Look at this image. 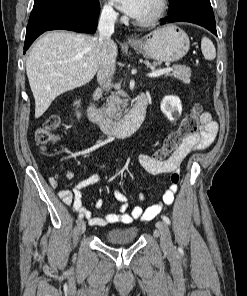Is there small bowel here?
<instances>
[{
    "mask_svg": "<svg viewBox=\"0 0 247 296\" xmlns=\"http://www.w3.org/2000/svg\"><path fill=\"white\" fill-rule=\"evenodd\" d=\"M217 133V124L213 121L212 115L209 112H204L200 116V132L187 137L181 147L175 151L168 159L164 161H156L150 155H141V166L152 175L169 174L171 176V185L164 192L162 201L157 204L148 205L146 208L135 206L130 209V204L127 196L120 190L114 191V197L118 202V212L106 213L103 216H94L83 206L82 190L98 184L101 181L99 174H91L82 181L78 182L73 189H61L58 191V197L67 205L72 206L75 212L87 218L88 222L94 226H107L112 224H130L138 219H152L161 212L164 206H170L177 191V184L172 181L173 175H179V169L184 158L193 150H201L208 147L215 139ZM65 177L68 180L74 178V172L69 170L65 172ZM50 184L53 188L57 187L55 179H50ZM140 201L145 200L143 193L138 195ZM104 205L103 200H96L94 206L101 209Z\"/></svg>",
    "mask_w": 247,
    "mask_h": 296,
    "instance_id": "1",
    "label": "small bowel"
}]
</instances>
